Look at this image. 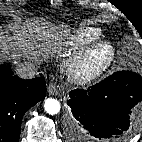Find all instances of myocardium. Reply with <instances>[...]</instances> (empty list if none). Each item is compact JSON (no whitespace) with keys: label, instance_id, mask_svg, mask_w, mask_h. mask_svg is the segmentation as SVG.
Here are the masks:
<instances>
[{"label":"myocardium","instance_id":"1","mask_svg":"<svg viewBox=\"0 0 142 142\" xmlns=\"http://www.w3.org/2000/svg\"><path fill=\"white\" fill-rule=\"evenodd\" d=\"M115 60V48L109 42H100L82 50L65 65L68 77L78 84L99 79Z\"/></svg>","mask_w":142,"mask_h":142}]
</instances>
